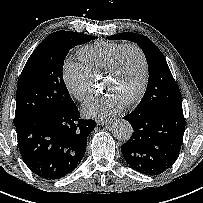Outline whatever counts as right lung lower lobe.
<instances>
[{"label": "right lung lower lobe", "mask_w": 203, "mask_h": 203, "mask_svg": "<svg viewBox=\"0 0 203 203\" xmlns=\"http://www.w3.org/2000/svg\"><path fill=\"white\" fill-rule=\"evenodd\" d=\"M95 126L94 120L80 118L75 104L16 125L23 161L41 178H62L81 162Z\"/></svg>", "instance_id": "1"}]
</instances>
